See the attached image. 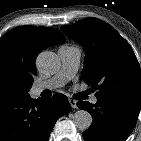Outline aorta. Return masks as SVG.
<instances>
[{
    "instance_id": "obj_1",
    "label": "aorta",
    "mask_w": 141,
    "mask_h": 141,
    "mask_svg": "<svg viewBox=\"0 0 141 141\" xmlns=\"http://www.w3.org/2000/svg\"><path fill=\"white\" fill-rule=\"evenodd\" d=\"M36 65L38 70L44 74H54L60 68V61L56 53L52 51H43L37 56ZM92 120L91 114L85 110H78L73 115L75 126L81 130L88 129Z\"/></svg>"
}]
</instances>
